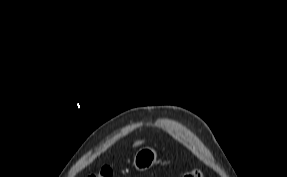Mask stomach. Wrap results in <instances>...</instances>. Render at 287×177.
I'll use <instances>...</instances> for the list:
<instances>
[{"instance_id": "1", "label": "stomach", "mask_w": 287, "mask_h": 177, "mask_svg": "<svg viewBox=\"0 0 287 177\" xmlns=\"http://www.w3.org/2000/svg\"><path fill=\"white\" fill-rule=\"evenodd\" d=\"M157 161V153L151 147L137 150L133 158V166L137 171H146L152 168Z\"/></svg>"}]
</instances>
